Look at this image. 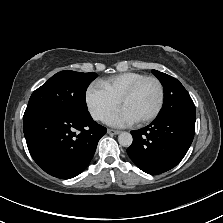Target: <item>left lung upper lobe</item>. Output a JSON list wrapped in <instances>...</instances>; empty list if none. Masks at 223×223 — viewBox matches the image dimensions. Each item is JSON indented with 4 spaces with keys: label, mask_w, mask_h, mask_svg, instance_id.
I'll return each mask as SVG.
<instances>
[{
    "label": "left lung upper lobe",
    "mask_w": 223,
    "mask_h": 223,
    "mask_svg": "<svg viewBox=\"0 0 223 223\" xmlns=\"http://www.w3.org/2000/svg\"><path fill=\"white\" fill-rule=\"evenodd\" d=\"M152 73L159 79L164 88L163 106L156 119L170 116L196 117L195 105L180 81L157 70H152Z\"/></svg>",
    "instance_id": "5c2ea615"
}]
</instances>
